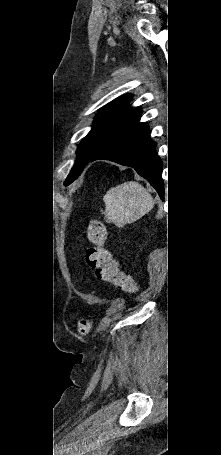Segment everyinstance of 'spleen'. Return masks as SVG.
<instances>
[{"label": "spleen", "mask_w": 221, "mask_h": 455, "mask_svg": "<svg viewBox=\"0 0 221 455\" xmlns=\"http://www.w3.org/2000/svg\"><path fill=\"white\" fill-rule=\"evenodd\" d=\"M105 217L118 227L132 223L152 210L151 194L138 182L130 181L109 189L103 197Z\"/></svg>", "instance_id": "3e777b00"}]
</instances>
